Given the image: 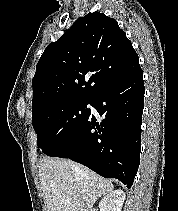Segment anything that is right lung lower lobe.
Here are the masks:
<instances>
[{
    "instance_id": "obj_1",
    "label": "right lung lower lobe",
    "mask_w": 178,
    "mask_h": 211,
    "mask_svg": "<svg viewBox=\"0 0 178 211\" xmlns=\"http://www.w3.org/2000/svg\"><path fill=\"white\" fill-rule=\"evenodd\" d=\"M144 93L139 68L92 98L91 105L103 118L100 123L90 112L84 124L47 155L69 158L130 188L140 162Z\"/></svg>"
}]
</instances>
